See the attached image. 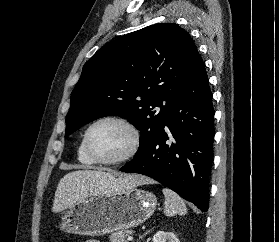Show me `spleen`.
<instances>
[{
	"label": "spleen",
	"mask_w": 279,
	"mask_h": 242,
	"mask_svg": "<svg viewBox=\"0 0 279 242\" xmlns=\"http://www.w3.org/2000/svg\"><path fill=\"white\" fill-rule=\"evenodd\" d=\"M165 196V214L174 216L176 214L184 215L187 212V207L183 199L174 191L168 188L162 190Z\"/></svg>",
	"instance_id": "3e777b00"
}]
</instances>
